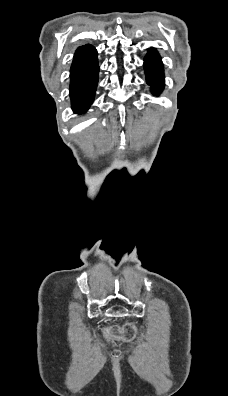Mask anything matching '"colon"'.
I'll list each match as a JSON object with an SVG mask.
<instances>
[{
    "instance_id": "5ec220e1",
    "label": "colon",
    "mask_w": 228,
    "mask_h": 396,
    "mask_svg": "<svg viewBox=\"0 0 228 396\" xmlns=\"http://www.w3.org/2000/svg\"><path fill=\"white\" fill-rule=\"evenodd\" d=\"M106 335L112 339L132 341L137 335V327L134 323H127L121 327L111 326L106 329Z\"/></svg>"
}]
</instances>
